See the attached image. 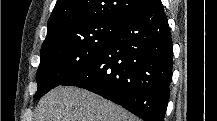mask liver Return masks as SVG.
<instances>
[{
	"instance_id": "6515ba94",
	"label": "liver",
	"mask_w": 217,
	"mask_h": 121,
	"mask_svg": "<svg viewBox=\"0 0 217 121\" xmlns=\"http://www.w3.org/2000/svg\"><path fill=\"white\" fill-rule=\"evenodd\" d=\"M34 121H138V118L90 91L59 86L40 99Z\"/></svg>"
}]
</instances>
